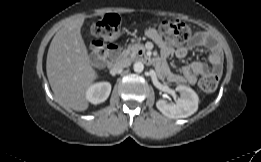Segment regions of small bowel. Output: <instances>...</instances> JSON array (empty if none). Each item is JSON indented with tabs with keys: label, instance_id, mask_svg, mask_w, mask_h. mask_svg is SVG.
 Segmentation results:
<instances>
[{
	"label": "small bowel",
	"instance_id": "c3829d8e",
	"mask_svg": "<svg viewBox=\"0 0 261 162\" xmlns=\"http://www.w3.org/2000/svg\"><path fill=\"white\" fill-rule=\"evenodd\" d=\"M148 37L160 47L163 57L174 54L177 58L182 59L187 54L186 47H178L176 49H173L168 46L156 30H149ZM190 45L192 47L209 46V64L200 61L190 62L183 67L182 75H179L171 72L162 60H157L158 64H162L157 66L158 70L163 75H165L168 80L172 82L186 81L187 83L192 85L197 82V78L199 75L212 74L215 76H219L222 72V53L220 48L213 42L212 38L204 32H198L194 35L193 39L190 42Z\"/></svg>",
	"mask_w": 261,
	"mask_h": 162
}]
</instances>
